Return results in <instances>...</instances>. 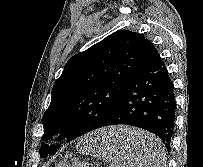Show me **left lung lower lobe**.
Listing matches in <instances>:
<instances>
[{
	"label": "left lung lower lobe",
	"mask_w": 203,
	"mask_h": 167,
	"mask_svg": "<svg viewBox=\"0 0 203 167\" xmlns=\"http://www.w3.org/2000/svg\"><path fill=\"white\" fill-rule=\"evenodd\" d=\"M176 101L173 82L155 49L135 71L122 91L115 112L99 127L131 125L157 135L170 150L175 126ZM125 142L108 138L110 148L125 146ZM60 145H55L50 154Z\"/></svg>",
	"instance_id": "obj_1"
}]
</instances>
